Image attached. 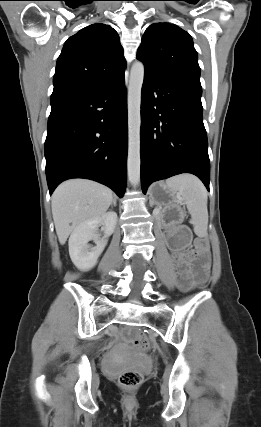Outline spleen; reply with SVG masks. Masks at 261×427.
<instances>
[{
  "label": "spleen",
  "mask_w": 261,
  "mask_h": 427,
  "mask_svg": "<svg viewBox=\"0 0 261 427\" xmlns=\"http://www.w3.org/2000/svg\"><path fill=\"white\" fill-rule=\"evenodd\" d=\"M166 185L173 192L179 202L186 204L191 214V224L199 237L207 235L208 210L207 191L202 182L191 174H181L166 180Z\"/></svg>",
  "instance_id": "1"
}]
</instances>
